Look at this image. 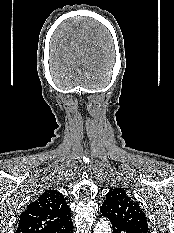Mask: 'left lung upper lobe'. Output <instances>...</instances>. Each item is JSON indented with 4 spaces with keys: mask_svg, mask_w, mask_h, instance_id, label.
<instances>
[{
    "mask_svg": "<svg viewBox=\"0 0 174 233\" xmlns=\"http://www.w3.org/2000/svg\"><path fill=\"white\" fill-rule=\"evenodd\" d=\"M100 211L110 221H116L150 233L145 213L138 203L127 196L123 189L114 188L109 191Z\"/></svg>",
    "mask_w": 174,
    "mask_h": 233,
    "instance_id": "1",
    "label": "left lung upper lobe"
}]
</instances>
